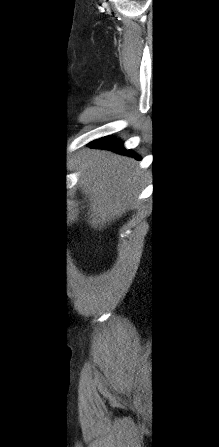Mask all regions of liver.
<instances>
[{
    "label": "liver",
    "mask_w": 219,
    "mask_h": 447,
    "mask_svg": "<svg viewBox=\"0 0 219 447\" xmlns=\"http://www.w3.org/2000/svg\"><path fill=\"white\" fill-rule=\"evenodd\" d=\"M77 169L85 171L80 180L83 193L93 197L88 222L94 229L120 217L144 185V172L135 160L109 151H83Z\"/></svg>",
    "instance_id": "obj_1"
}]
</instances>
